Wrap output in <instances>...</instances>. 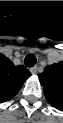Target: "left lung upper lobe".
<instances>
[{
	"mask_svg": "<svg viewBox=\"0 0 63 123\" xmlns=\"http://www.w3.org/2000/svg\"><path fill=\"white\" fill-rule=\"evenodd\" d=\"M47 101L55 108H63V66L62 63L48 65L39 74Z\"/></svg>",
	"mask_w": 63,
	"mask_h": 123,
	"instance_id": "left-lung-upper-lobe-1",
	"label": "left lung upper lobe"
}]
</instances>
